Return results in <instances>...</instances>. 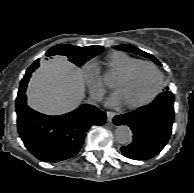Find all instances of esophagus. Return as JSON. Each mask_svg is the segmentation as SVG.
I'll return each mask as SVG.
<instances>
[{
  "label": "esophagus",
  "mask_w": 194,
  "mask_h": 193,
  "mask_svg": "<svg viewBox=\"0 0 194 193\" xmlns=\"http://www.w3.org/2000/svg\"><path fill=\"white\" fill-rule=\"evenodd\" d=\"M115 115H116L115 112L108 111V112H107V120H108L109 122H111Z\"/></svg>",
  "instance_id": "34e87169"
}]
</instances>
